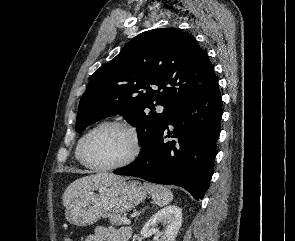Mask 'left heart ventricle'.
Segmentation results:
<instances>
[{
	"instance_id": "left-heart-ventricle-1",
	"label": "left heart ventricle",
	"mask_w": 295,
	"mask_h": 241,
	"mask_svg": "<svg viewBox=\"0 0 295 241\" xmlns=\"http://www.w3.org/2000/svg\"><path fill=\"white\" fill-rule=\"evenodd\" d=\"M133 149L130 134L118 127L97 132L89 142L88 159L98 165H112L125 160Z\"/></svg>"
}]
</instances>
